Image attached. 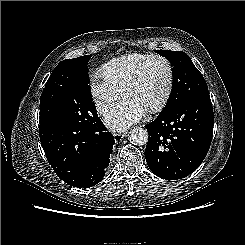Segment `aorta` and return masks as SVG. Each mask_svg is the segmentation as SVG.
<instances>
[{"mask_svg": "<svg viewBox=\"0 0 245 245\" xmlns=\"http://www.w3.org/2000/svg\"><path fill=\"white\" fill-rule=\"evenodd\" d=\"M129 141L137 146L145 145L148 141V133L144 128L135 127L130 131Z\"/></svg>", "mask_w": 245, "mask_h": 245, "instance_id": "aorta-1", "label": "aorta"}]
</instances>
